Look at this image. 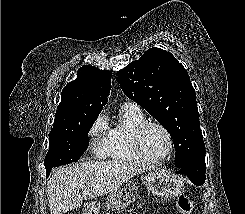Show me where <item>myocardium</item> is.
Returning a JSON list of instances; mask_svg holds the SVG:
<instances>
[{"instance_id":"myocardium-1","label":"myocardium","mask_w":245,"mask_h":214,"mask_svg":"<svg viewBox=\"0 0 245 214\" xmlns=\"http://www.w3.org/2000/svg\"><path fill=\"white\" fill-rule=\"evenodd\" d=\"M150 127H156L160 129L166 135L168 140V149L166 153L158 159H149L146 157L142 149V136L144 132ZM131 145L133 152L139 161L149 166H155L165 162L168 158H170L174 151V139L171 132L161 123L154 121H145L133 129L131 134Z\"/></svg>"}]
</instances>
